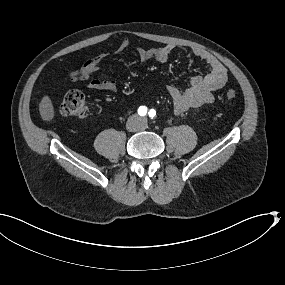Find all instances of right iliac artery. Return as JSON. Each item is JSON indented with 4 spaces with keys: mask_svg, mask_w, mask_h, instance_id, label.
<instances>
[{
    "mask_svg": "<svg viewBox=\"0 0 285 285\" xmlns=\"http://www.w3.org/2000/svg\"><path fill=\"white\" fill-rule=\"evenodd\" d=\"M146 113H147V108L145 106L139 107V109H138L139 115L144 116V115H146Z\"/></svg>",
    "mask_w": 285,
    "mask_h": 285,
    "instance_id": "1",
    "label": "right iliac artery"
}]
</instances>
